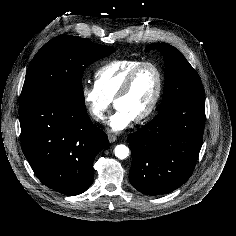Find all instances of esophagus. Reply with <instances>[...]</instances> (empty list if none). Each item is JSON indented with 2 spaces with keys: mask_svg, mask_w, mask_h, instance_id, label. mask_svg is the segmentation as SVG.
<instances>
[{
  "mask_svg": "<svg viewBox=\"0 0 236 236\" xmlns=\"http://www.w3.org/2000/svg\"><path fill=\"white\" fill-rule=\"evenodd\" d=\"M108 140H109L110 143H113L117 140V138H116L115 135L109 134L108 135Z\"/></svg>",
  "mask_w": 236,
  "mask_h": 236,
  "instance_id": "esophagus-1",
  "label": "esophagus"
}]
</instances>
